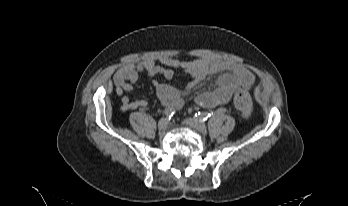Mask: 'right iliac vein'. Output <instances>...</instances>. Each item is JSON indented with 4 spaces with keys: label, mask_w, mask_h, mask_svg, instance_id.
<instances>
[{
    "label": "right iliac vein",
    "mask_w": 348,
    "mask_h": 206,
    "mask_svg": "<svg viewBox=\"0 0 348 206\" xmlns=\"http://www.w3.org/2000/svg\"><path fill=\"white\" fill-rule=\"evenodd\" d=\"M169 120L167 118H162L158 122V128L160 130H165L168 127Z\"/></svg>",
    "instance_id": "63e3f726"
}]
</instances>
